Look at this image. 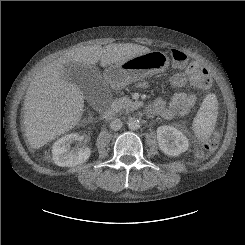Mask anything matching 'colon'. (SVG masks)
Masks as SVG:
<instances>
[{
  "mask_svg": "<svg viewBox=\"0 0 245 245\" xmlns=\"http://www.w3.org/2000/svg\"><path fill=\"white\" fill-rule=\"evenodd\" d=\"M170 56L175 66L184 68L189 65V57L181 50L172 49ZM198 85L202 89H209L212 85V78L208 73L199 74L196 78ZM220 138L219 132H212L196 149L197 158H205L217 147Z\"/></svg>",
  "mask_w": 245,
  "mask_h": 245,
  "instance_id": "obj_1",
  "label": "colon"
}]
</instances>
